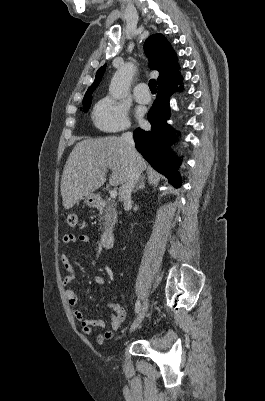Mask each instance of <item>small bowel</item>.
Here are the masks:
<instances>
[{"instance_id":"small-bowel-1","label":"small bowel","mask_w":265,"mask_h":401,"mask_svg":"<svg viewBox=\"0 0 265 401\" xmlns=\"http://www.w3.org/2000/svg\"><path fill=\"white\" fill-rule=\"evenodd\" d=\"M64 244H71L75 243L77 241H80L82 243H93L96 246V254L94 260L91 262V265L94 266L102 251L103 247L100 242H95L91 239L90 236L86 234H80L79 236H76L75 234H66L64 235L62 239ZM61 263L66 270V274L64 275L62 282L65 286H68L71 284V282L75 279L76 273L75 269L69 259V256L66 253H63L61 255ZM94 282L99 285H105L106 280L102 276H95L94 277ZM65 297L71 307H73V315L76 321L80 324L82 328V332L89 336L92 334L94 328H105L106 324L105 321L102 319H92V318H87L85 315L82 313L81 310L77 309V303H78V295L77 292L71 288L66 289L65 291ZM114 313L111 315V328L112 330L106 331L102 334H99L97 337V342L99 344H103L109 340H111L114 337L115 332H117L124 321L126 317V312L125 310L116 305L114 306Z\"/></svg>"}]
</instances>
